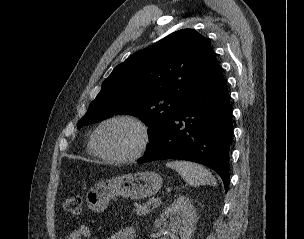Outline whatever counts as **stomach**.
Wrapping results in <instances>:
<instances>
[{
    "label": "stomach",
    "mask_w": 304,
    "mask_h": 239,
    "mask_svg": "<svg viewBox=\"0 0 304 239\" xmlns=\"http://www.w3.org/2000/svg\"><path fill=\"white\" fill-rule=\"evenodd\" d=\"M162 186V178L153 171H143L97 183L86 194L88 207L94 212L107 208L109 201L116 196L142 199L153 196Z\"/></svg>",
    "instance_id": "stomach-1"
}]
</instances>
